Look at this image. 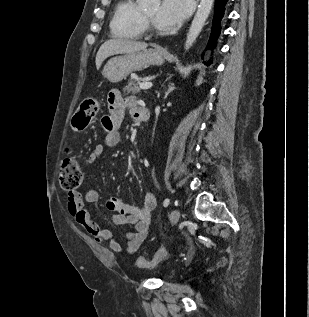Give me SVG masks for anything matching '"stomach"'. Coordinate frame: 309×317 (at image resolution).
I'll list each match as a JSON object with an SVG mask.
<instances>
[{"instance_id": "stomach-1", "label": "stomach", "mask_w": 309, "mask_h": 317, "mask_svg": "<svg viewBox=\"0 0 309 317\" xmlns=\"http://www.w3.org/2000/svg\"><path fill=\"white\" fill-rule=\"evenodd\" d=\"M166 57L167 54L160 47L115 56L106 63L103 75L111 83H118L132 72L140 71L150 65H162Z\"/></svg>"}]
</instances>
